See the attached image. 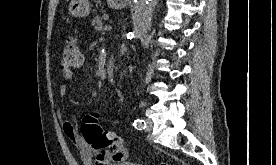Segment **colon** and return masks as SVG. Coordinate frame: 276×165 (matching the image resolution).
Listing matches in <instances>:
<instances>
[{
  "label": "colon",
  "mask_w": 276,
  "mask_h": 165,
  "mask_svg": "<svg viewBox=\"0 0 276 165\" xmlns=\"http://www.w3.org/2000/svg\"><path fill=\"white\" fill-rule=\"evenodd\" d=\"M82 62V53L75 38L69 37L64 45L61 61V73H72ZM81 134L84 141L94 150L102 153H111L115 159L126 158L123 139L117 134L102 129L99 124V115L92 113L86 116L81 124ZM161 165H169L162 163Z\"/></svg>",
  "instance_id": "5ec220e1"
}]
</instances>
